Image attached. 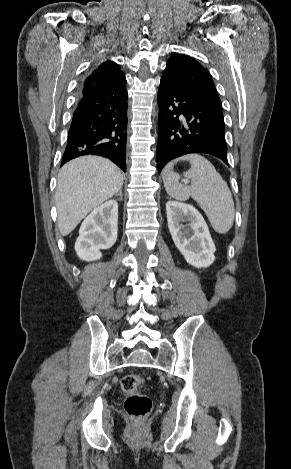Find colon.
<instances>
[{
  "instance_id": "colon-1",
  "label": "colon",
  "mask_w": 291,
  "mask_h": 469,
  "mask_svg": "<svg viewBox=\"0 0 291 469\" xmlns=\"http://www.w3.org/2000/svg\"><path fill=\"white\" fill-rule=\"evenodd\" d=\"M144 379L139 374H128L121 379V389L126 395L124 408L135 420L148 416L152 410V400L142 393Z\"/></svg>"
}]
</instances>
